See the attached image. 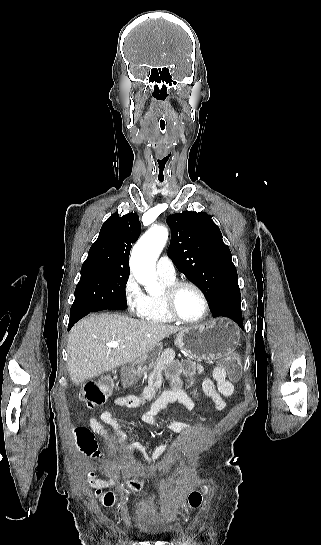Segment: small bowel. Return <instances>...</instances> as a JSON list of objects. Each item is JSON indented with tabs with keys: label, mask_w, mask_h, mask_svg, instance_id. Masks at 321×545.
I'll use <instances>...</instances> for the list:
<instances>
[{
	"label": "small bowel",
	"mask_w": 321,
	"mask_h": 545,
	"mask_svg": "<svg viewBox=\"0 0 321 545\" xmlns=\"http://www.w3.org/2000/svg\"><path fill=\"white\" fill-rule=\"evenodd\" d=\"M199 373H203V368L197 366ZM213 379L216 382L209 378L205 377L202 381V390L203 393L211 398L216 405L218 410H222L225 407V398L233 395L235 388L231 379L226 375V372L223 367L217 366L213 370ZM159 382V374L157 373L152 379L151 384L147 387L142 395H128L117 397L115 403L118 406H123L127 408H136L143 404L144 402L152 399L155 395V387ZM188 387L191 389L192 386L189 384ZM178 402L184 405L189 411L194 410V403L190 397L180 389H173L162 394L157 400H155L142 414V420L147 424H150L155 427L167 428L176 433H191L192 428L190 425L181 423V422H167L161 423L157 420L156 416L160 410H162L168 403ZM101 420L106 425L110 426L116 434L123 440L126 439V434L121 430L116 420L113 418L110 411L106 410L101 414ZM91 429L99 434L105 441V443L112 449L110 443V438L107 430L95 418L89 420ZM176 446V443H168L159 446L152 455L148 456L145 452L143 445L140 442H133L127 445V450L131 454L133 460H136V454H140L142 458L148 463L152 464L156 462L162 453L170 448ZM89 484L95 488H110L116 485V478L110 477L107 479H97L92 475L89 477Z\"/></svg>",
	"instance_id": "obj_1"
}]
</instances>
